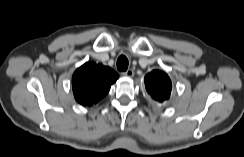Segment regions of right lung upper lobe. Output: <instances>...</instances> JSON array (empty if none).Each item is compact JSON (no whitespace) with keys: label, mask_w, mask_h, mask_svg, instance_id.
Masks as SVG:
<instances>
[{"label":"right lung upper lobe","mask_w":244,"mask_h":157,"mask_svg":"<svg viewBox=\"0 0 244 157\" xmlns=\"http://www.w3.org/2000/svg\"><path fill=\"white\" fill-rule=\"evenodd\" d=\"M118 74L109 67L88 62L73 74L72 87L75 99L83 106L97 103L118 79Z\"/></svg>","instance_id":"cb5924a9"}]
</instances>
